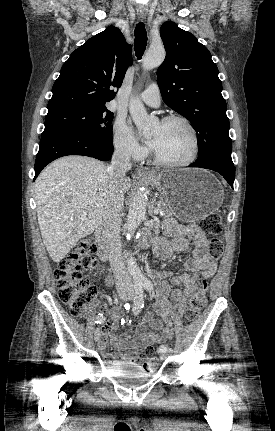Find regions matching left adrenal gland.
<instances>
[{
  "instance_id": "obj_1",
  "label": "left adrenal gland",
  "mask_w": 275,
  "mask_h": 431,
  "mask_svg": "<svg viewBox=\"0 0 275 431\" xmlns=\"http://www.w3.org/2000/svg\"><path fill=\"white\" fill-rule=\"evenodd\" d=\"M155 202H156V199H155V198H153V201H152L151 206H150V209H149V215H150V216H152V215H153V209L155 208Z\"/></svg>"
}]
</instances>
